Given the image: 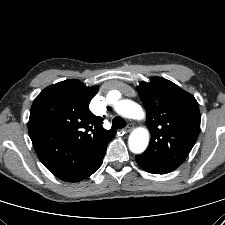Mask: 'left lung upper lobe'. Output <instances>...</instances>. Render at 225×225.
<instances>
[{"instance_id": "5c2ea615", "label": "left lung upper lobe", "mask_w": 225, "mask_h": 225, "mask_svg": "<svg viewBox=\"0 0 225 225\" xmlns=\"http://www.w3.org/2000/svg\"><path fill=\"white\" fill-rule=\"evenodd\" d=\"M147 112L151 141L144 155L177 168L193 148L200 131L196 99L160 77L137 88Z\"/></svg>"}]
</instances>
